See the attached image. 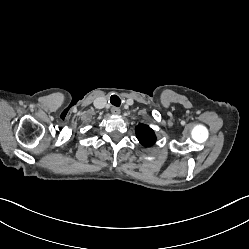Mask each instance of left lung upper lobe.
<instances>
[{
    "label": "left lung upper lobe",
    "mask_w": 249,
    "mask_h": 249,
    "mask_svg": "<svg viewBox=\"0 0 249 249\" xmlns=\"http://www.w3.org/2000/svg\"><path fill=\"white\" fill-rule=\"evenodd\" d=\"M136 136L139 142L145 146H152L156 142L154 131L145 124H138L135 128Z\"/></svg>",
    "instance_id": "obj_1"
}]
</instances>
